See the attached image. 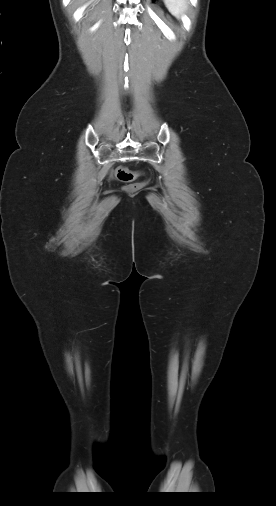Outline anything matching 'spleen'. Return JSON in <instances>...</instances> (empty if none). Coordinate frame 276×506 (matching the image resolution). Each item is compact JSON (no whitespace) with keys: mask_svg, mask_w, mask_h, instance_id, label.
Returning a JSON list of instances; mask_svg holds the SVG:
<instances>
[{"mask_svg":"<svg viewBox=\"0 0 276 506\" xmlns=\"http://www.w3.org/2000/svg\"><path fill=\"white\" fill-rule=\"evenodd\" d=\"M164 3L170 13L180 19L188 8L187 0H164Z\"/></svg>","mask_w":276,"mask_h":506,"instance_id":"3e777b00","label":"spleen"}]
</instances>
